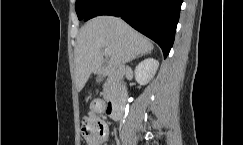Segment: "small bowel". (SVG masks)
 <instances>
[{
  "instance_id": "obj_1",
  "label": "small bowel",
  "mask_w": 243,
  "mask_h": 145,
  "mask_svg": "<svg viewBox=\"0 0 243 145\" xmlns=\"http://www.w3.org/2000/svg\"><path fill=\"white\" fill-rule=\"evenodd\" d=\"M106 110V106L101 99L94 100L87 112V118L94 125V133L86 138L88 145H103L109 135L107 124L98 117V114Z\"/></svg>"
}]
</instances>
